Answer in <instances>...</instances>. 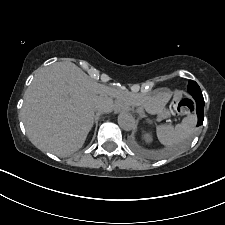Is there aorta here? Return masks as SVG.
I'll list each match as a JSON object with an SVG mask.
<instances>
[{
    "mask_svg": "<svg viewBox=\"0 0 225 225\" xmlns=\"http://www.w3.org/2000/svg\"><path fill=\"white\" fill-rule=\"evenodd\" d=\"M118 124L125 131H132L136 127L134 117L130 113H120L118 116Z\"/></svg>",
    "mask_w": 225,
    "mask_h": 225,
    "instance_id": "obj_1",
    "label": "aorta"
}]
</instances>
